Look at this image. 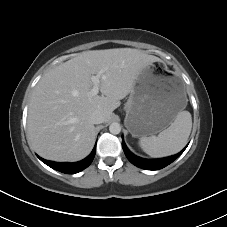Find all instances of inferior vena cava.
Returning <instances> with one entry per match:
<instances>
[{"mask_svg": "<svg viewBox=\"0 0 227 227\" xmlns=\"http://www.w3.org/2000/svg\"><path fill=\"white\" fill-rule=\"evenodd\" d=\"M90 120L93 124H100L104 122V115L101 111H94L91 116Z\"/></svg>", "mask_w": 227, "mask_h": 227, "instance_id": "602c4592", "label": "inferior vena cava"}]
</instances>
